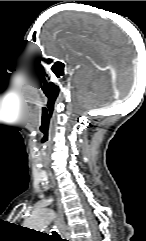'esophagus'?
Instances as JSON below:
<instances>
[{"label":"esophagus","instance_id":"esophagus-1","mask_svg":"<svg viewBox=\"0 0 146 241\" xmlns=\"http://www.w3.org/2000/svg\"><path fill=\"white\" fill-rule=\"evenodd\" d=\"M57 210H58V220H57L58 230L62 236H65L66 225L64 222L63 206H62L60 197L57 198Z\"/></svg>","mask_w":146,"mask_h":241}]
</instances>
